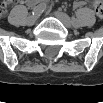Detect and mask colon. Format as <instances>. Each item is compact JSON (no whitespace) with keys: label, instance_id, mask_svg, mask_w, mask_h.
<instances>
[{"label":"colon","instance_id":"1","mask_svg":"<svg viewBox=\"0 0 103 103\" xmlns=\"http://www.w3.org/2000/svg\"><path fill=\"white\" fill-rule=\"evenodd\" d=\"M10 5V2H6L0 9V14H3L6 8ZM91 7L95 10L97 16L103 18V3L100 0H93L90 2Z\"/></svg>","mask_w":103,"mask_h":103}]
</instances>
